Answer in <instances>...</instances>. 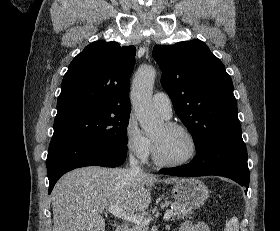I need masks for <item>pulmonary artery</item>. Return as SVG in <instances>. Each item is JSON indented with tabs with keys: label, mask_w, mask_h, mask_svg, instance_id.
<instances>
[{
	"label": "pulmonary artery",
	"mask_w": 280,
	"mask_h": 231,
	"mask_svg": "<svg viewBox=\"0 0 280 231\" xmlns=\"http://www.w3.org/2000/svg\"><path fill=\"white\" fill-rule=\"evenodd\" d=\"M153 107L166 119L172 116V104L169 96L164 92H156L152 97Z\"/></svg>",
	"instance_id": "obj_1"
}]
</instances>
